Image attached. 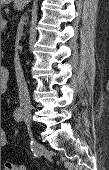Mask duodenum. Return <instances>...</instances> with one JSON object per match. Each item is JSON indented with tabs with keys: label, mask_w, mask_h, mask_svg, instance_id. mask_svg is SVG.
Segmentation results:
<instances>
[{
	"label": "duodenum",
	"mask_w": 109,
	"mask_h": 170,
	"mask_svg": "<svg viewBox=\"0 0 109 170\" xmlns=\"http://www.w3.org/2000/svg\"><path fill=\"white\" fill-rule=\"evenodd\" d=\"M9 71L6 67L1 68V91L5 92L8 86Z\"/></svg>",
	"instance_id": "obj_1"
}]
</instances>
